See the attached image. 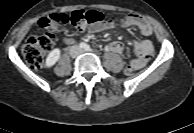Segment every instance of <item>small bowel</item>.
Segmentation results:
<instances>
[{
    "instance_id": "obj_1",
    "label": "small bowel",
    "mask_w": 194,
    "mask_h": 133,
    "mask_svg": "<svg viewBox=\"0 0 194 133\" xmlns=\"http://www.w3.org/2000/svg\"><path fill=\"white\" fill-rule=\"evenodd\" d=\"M122 28L135 27L144 37H149L152 34L150 23L143 17L137 14L127 15L119 24ZM117 24L114 22H106L100 25H95L90 28L91 32H100L107 29L115 28ZM134 49L137 57L130 60V65L136 70L142 68L153 54V45L149 39L134 41ZM109 50L120 54L123 51V45L120 42H113L109 45Z\"/></svg>"
}]
</instances>
